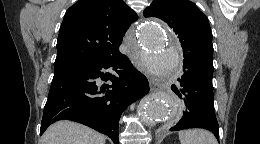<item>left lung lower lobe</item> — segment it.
I'll return each mask as SVG.
<instances>
[{
	"label": "left lung lower lobe",
	"mask_w": 260,
	"mask_h": 144,
	"mask_svg": "<svg viewBox=\"0 0 260 144\" xmlns=\"http://www.w3.org/2000/svg\"><path fill=\"white\" fill-rule=\"evenodd\" d=\"M183 71L184 74L178 78L180 88L172 87L179 97V119L170 130L204 128L212 131L219 141L213 102V72L188 62L183 63Z\"/></svg>",
	"instance_id": "0a47b994"
}]
</instances>
